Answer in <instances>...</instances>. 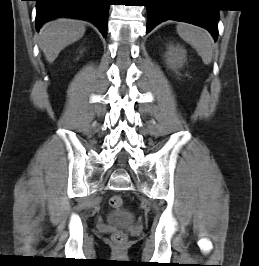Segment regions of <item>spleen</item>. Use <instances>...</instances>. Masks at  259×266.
Here are the masks:
<instances>
[{
  "instance_id": "obj_1",
  "label": "spleen",
  "mask_w": 259,
  "mask_h": 266,
  "mask_svg": "<svg viewBox=\"0 0 259 266\" xmlns=\"http://www.w3.org/2000/svg\"><path fill=\"white\" fill-rule=\"evenodd\" d=\"M177 33L184 41L195 48L205 65L211 63L213 57V39L208 31L191 24L179 23L177 25Z\"/></svg>"
}]
</instances>
